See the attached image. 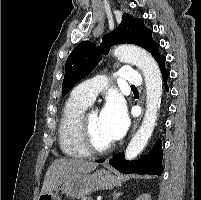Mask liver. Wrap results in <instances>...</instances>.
Masks as SVG:
<instances>
[{"label":"liver","mask_w":201,"mask_h":200,"mask_svg":"<svg viewBox=\"0 0 201 200\" xmlns=\"http://www.w3.org/2000/svg\"><path fill=\"white\" fill-rule=\"evenodd\" d=\"M97 166V163L82 159H56L45 175L41 194L53 191L74 175L89 173Z\"/></svg>","instance_id":"obj_1"}]
</instances>
